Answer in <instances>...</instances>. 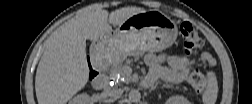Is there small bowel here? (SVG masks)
<instances>
[{
    "label": "small bowel",
    "instance_id": "obj_1",
    "mask_svg": "<svg viewBox=\"0 0 252 104\" xmlns=\"http://www.w3.org/2000/svg\"><path fill=\"white\" fill-rule=\"evenodd\" d=\"M145 60L149 67L143 80L145 85H151L159 78L170 83H179L185 80L189 72L188 63L178 55L148 54ZM163 64L166 66H162Z\"/></svg>",
    "mask_w": 252,
    "mask_h": 104
}]
</instances>
